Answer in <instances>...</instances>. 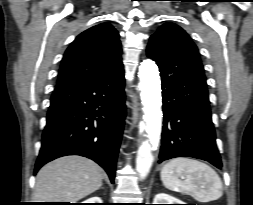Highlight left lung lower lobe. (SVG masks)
Masks as SVG:
<instances>
[{
	"mask_svg": "<svg viewBox=\"0 0 253 205\" xmlns=\"http://www.w3.org/2000/svg\"><path fill=\"white\" fill-rule=\"evenodd\" d=\"M147 55L162 78L164 121L158 162L194 157L221 168L202 63L157 38L150 39Z\"/></svg>",
	"mask_w": 253,
	"mask_h": 205,
	"instance_id": "left-lung-lower-lobe-1",
	"label": "left lung lower lobe"
}]
</instances>
